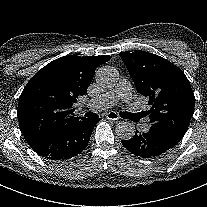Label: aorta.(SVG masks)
<instances>
[{
	"mask_svg": "<svg viewBox=\"0 0 207 207\" xmlns=\"http://www.w3.org/2000/svg\"><path fill=\"white\" fill-rule=\"evenodd\" d=\"M95 78L99 86L104 89H110L117 84L119 73L114 67L106 65L97 70ZM115 131L122 140H129L134 137L136 129L132 122L121 121L116 125Z\"/></svg>",
	"mask_w": 207,
	"mask_h": 207,
	"instance_id": "obj_1",
	"label": "aorta"
}]
</instances>
